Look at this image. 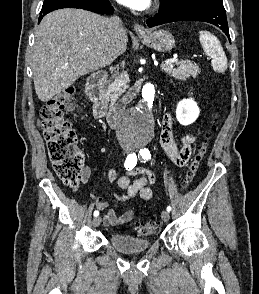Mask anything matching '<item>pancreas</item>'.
<instances>
[{"instance_id": "obj_1", "label": "pancreas", "mask_w": 259, "mask_h": 294, "mask_svg": "<svg viewBox=\"0 0 259 294\" xmlns=\"http://www.w3.org/2000/svg\"><path fill=\"white\" fill-rule=\"evenodd\" d=\"M175 65L177 67H175ZM175 65H163L162 71L174 77L178 80H186L190 77L196 78L201 72L198 65L190 60L177 62ZM129 82V76L126 72H122L120 76L116 77L115 80L108 86L107 94L109 95L112 102L116 101L118 95L128 88L127 83Z\"/></svg>"}]
</instances>
